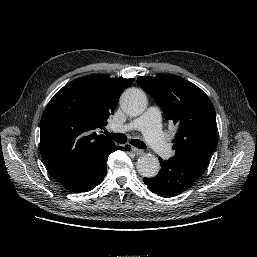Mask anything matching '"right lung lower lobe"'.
Instances as JSON below:
<instances>
[{
	"label": "right lung lower lobe",
	"instance_id": "1",
	"mask_svg": "<svg viewBox=\"0 0 257 257\" xmlns=\"http://www.w3.org/2000/svg\"><path fill=\"white\" fill-rule=\"evenodd\" d=\"M129 149V145L126 147L113 146L57 180L62 186L72 192L90 191L103 181L107 171L106 161L109 154L115 150Z\"/></svg>",
	"mask_w": 257,
	"mask_h": 257
}]
</instances>
